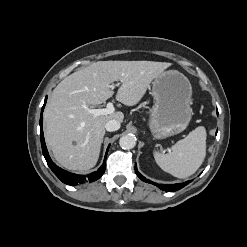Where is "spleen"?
<instances>
[{
  "mask_svg": "<svg viewBox=\"0 0 247 247\" xmlns=\"http://www.w3.org/2000/svg\"><path fill=\"white\" fill-rule=\"evenodd\" d=\"M206 156V130L199 126L184 139L179 140L169 153L155 151L154 158L158 166L165 172L186 178L194 174Z\"/></svg>",
  "mask_w": 247,
  "mask_h": 247,
  "instance_id": "obj_1",
  "label": "spleen"
}]
</instances>
